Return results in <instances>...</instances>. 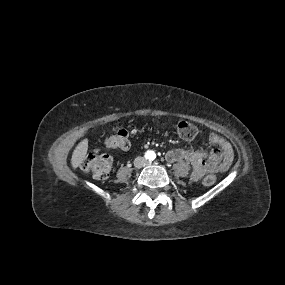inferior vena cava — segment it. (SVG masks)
<instances>
[{
  "instance_id": "inferior-vena-cava-1",
  "label": "inferior vena cava",
  "mask_w": 285,
  "mask_h": 285,
  "mask_svg": "<svg viewBox=\"0 0 285 285\" xmlns=\"http://www.w3.org/2000/svg\"><path fill=\"white\" fill-rule=\"evenodd\" d=\"M146 160L143 157H137L134 161V164L136 167H142L143 165H145Z\"/></svg>"
}]
</instances>
